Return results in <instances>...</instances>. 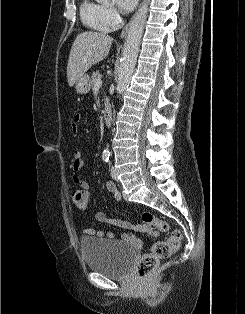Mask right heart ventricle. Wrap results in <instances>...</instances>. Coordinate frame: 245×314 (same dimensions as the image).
Here are the masks:
<instances>
[{
  "label": "right heart ventricle",
  "instance_id": "1",
  "mask_svg": "<svg viewBox=\"0 0 245 314\" xmlns=\"http://www.w3.org/2000/svg\"><path fill=\"white\" fill-rule=\"evenodd\" d=\"M102 6L91 0H83L80 5V15L82 22L89 28L106 32L101 25Z\"/></svg>",
  "mask_w": 245,
  "mask_h": 314
}]
</instances>
